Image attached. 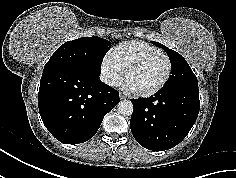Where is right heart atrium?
Wrapping results in <instances>:
<instances>
[{
  "mask_svg": "<svg viewBox=\"0 0 236 178\" xmlns=\"http://www.w3.org/2000/svg\"><path fill=\"white\" fill-rule=\"evenodd\" d=\"M123 70L115 62L110 53L103 56L100 64V76L102 81L109 86H116L122 80Z\"/></svg>",
  "mask_w": 236,
  "mask_h": 178,
  "instance_id": "right-heart-atrium-1",
  "label": "right heart atrium"
}]
</instances>
